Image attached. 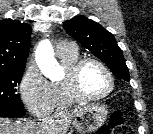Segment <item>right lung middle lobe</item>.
<instances>
[{
  "mask_svg": "<svg viewBox=\"0 0 153 134\" xmlns=\"http://www.w3.org/2000/svg\"><path fill=\"white\" fill-rule=\"evenodd\" d=\"M25 68L0 69V106L23 107L16 89Z\"/></svg>",
  "mask_w": 153,
  "mask_h": 134,
  "instance_id": "dd1d6c3e",
  "label": "right lung middle lobe"
}]
</instances>
